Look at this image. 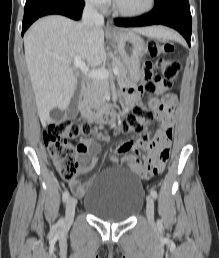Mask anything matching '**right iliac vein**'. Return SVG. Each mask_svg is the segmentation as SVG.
Instances as JSON below:
<instances>
[{
    "label": "right iliac vein",
    "instance_id": "obj_1",
    "mask_svg": "<svg viewBox=\"0 0 219 258\" xmlns=\"http://www.w3.org/2000/svg\"><path fill=\"white\" fill-rule=\"evenodd\" d=\"M76 199L74 197H70L66 202V222L71 223L75 214L76 207Z\"/></svg>",
    "mask_w": 219,
    "mask_h": 258
}]
</instances>
